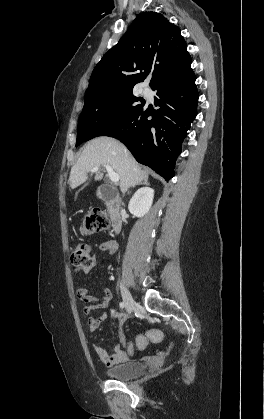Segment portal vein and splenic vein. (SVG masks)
Masks as SVG:
<instances>
[{
	"instance_id": "18ae733b",
	"label": "portal vein and splenic vein",
	"mask_w": 264,
	"mask_h": 419,
	"mask_svg": "<svg viewBox=\"0 0 264 419\" xmlns=\"http://www.w3.org/2000/svg\"><path fill=\"white\" fill-rule=\"evenodd\" d=\"M104 167L107 170V173L109 175L110 180L113 183H118L119 182V175L116 172H114V170L112 169V167L110 165H105ZM98 170H99L98 166H95L91 169L92 172H97Z\"/></svg>"
}]
</instances>
